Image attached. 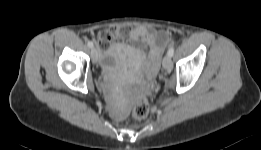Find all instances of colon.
I'll list each match as a JSON object with an SVG mask.
<instances>
[{
	"label": "colon",
	"mask_w": 261,
	"mask_h": 150,
	"mask_svg": "<svg viewBox=\"0 0 261 150\" xmlns=\"http://www.w3.org/2000/svg\"><path fill=\"white\" fill-rule=\"evenodd\" d=\"M149 104L146 99L139 100L133 107L132 114L137 119H144L149 114Z\"/></svg>",
	"instance_id": "5ec220e1"
}]
</instances>
